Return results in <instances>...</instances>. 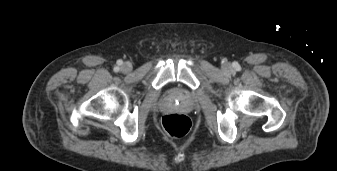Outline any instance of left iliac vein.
I'll return each mask as SVG.
<instances>
[{
	"label": "left iliac vein",
	"mask_w": 337,
	"mask_h": 171,
	"mask_svg": "<svg viewBox=\"0 0 337 171\" xmlns=\"http://www.w3.org/2000/svg\"><path fill=\"white\" fill-rule=\"evenodd\" d=\"M223 69H224L225 72H229L231 70V67H230V65L225 64Z\"/></svg>",
	"instance_id": "1"
}]
</instances>
